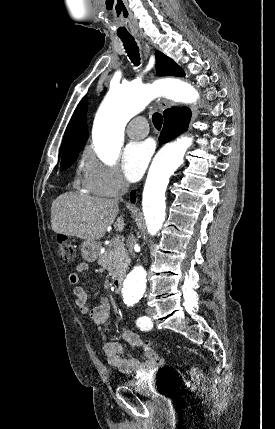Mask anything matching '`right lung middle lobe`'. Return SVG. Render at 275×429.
I'll list each match as a JSON object with an SVG mask.
<instances>
[{"mask_svg": "<svg viewBox=\"0 0 275 429\" xmlns=\"http://www.w3.org/2000/svg\"><path fill=\"white\" fill-rule=\"evenodd\" d=\"M77 157L78 153L61 158L60 170L63 171L68 169L73 164V162L76 161Z\"/></svg>", "mask_w": 275, "mask_h": 429, "instance_id": "1", "label": "right lung middle lobe"}]
</instances>
